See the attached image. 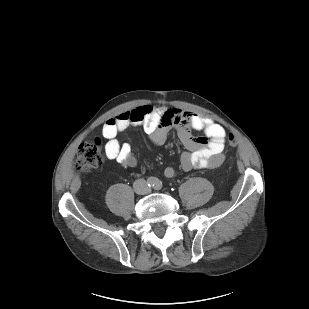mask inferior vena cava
<instances>
[{
    "mask_svg": "<svg viewBox=\"0 0 309 309\" xmlns=\"http://www.w3.org/2000/svg\"><path fill=\"white\" fill-rule=\"evenodd\" d=\"M134 191L137 194H147L150 192V188L147 185L146 180L138 179L133 183Z\"/></svg>",
    "mask_w": 309,
    "mask_h": 309,
    "instance_id": "obj_1",
    "label": "inferior vena cava"
}]
</instances>
